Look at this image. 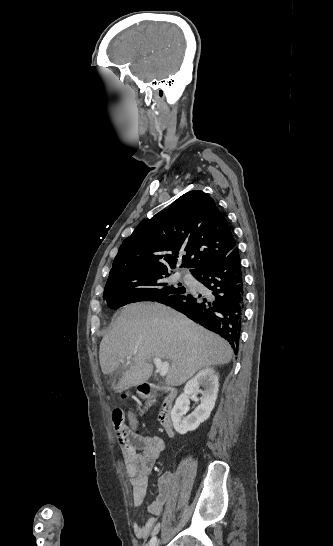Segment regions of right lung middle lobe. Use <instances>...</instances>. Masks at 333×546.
<instances>
[{"label":"right lung middle lobe","mask_w":333,"mask_h":546,"mask_svg":"<svg viewBox=\"0 0 333 546\" xmlns=\"http://www.w3.org/2000/svg\"><path fill=\"white\" fill-rule=\"evenodd\" d=\"M167 271H150L135 268H120L110 271L103 299L112 309L138 301H157L162 297L183 295L181 284L168 283ZM181 286V287H180Z\"/></svg>","instance_id":"1"}]
</instances>
